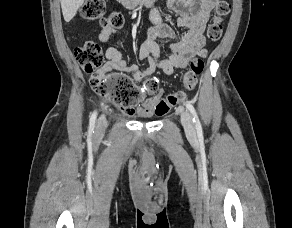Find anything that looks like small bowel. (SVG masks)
<instances>
[{
	"mask_svg": "<svg viewBox=\"0 0 292 228\" xmlns=\"http://www.w3.org/2000/svg\"><path fill=\"white\" fill-rule=\"evenodd\" d=\"M216 3L217 0H168L167 8L175 15L176 26L184 29V32L179 39L170 43L167 57H162V49L158 40H173L176 38V32L172 26L163 21L162 10L154 9L150 13L152 26L138 51L139 59L148 62L144 69L128 64L121 53L111 45L112 36L120 31L119 28H103L98 39L106 46L107 61L101 67L100 73L107 74L117 70L129 73L135 81H143L150 79L156 71L173 75L178 70L185 69L192 57H205L207 50L204 30ZM147 92L149 91L147 90ZM149 93L152 96L143 99L136 109L120 106L122 112L126 115L136 114L141 117L156 114V105L160 101L163 90L157 88L156 91Z\"/></svg>",
	"mask_w": 292,
	"mask_h": 228,
	"instance_id": "small-bowel-1",
	"label": "small bowel"
}]
</instances>
